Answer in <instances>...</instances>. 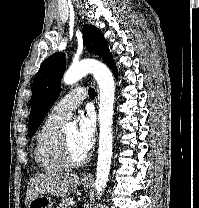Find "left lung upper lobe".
I'll use <instances>...</instances> for the list:
<instances>
[{"instance_id":"left-lung-upper-lobe-1","label":"left lung upper lobe","mask_w":199,"mask_h":208,"mask_svg":"<svg viewBox=\"0 0 199 208\" xmlns=\"http://www.w3.org/2000/svg\"><path fill=\"white\" fill-rule=\"evenodd\" d=\"M84 45L88 51L99 55L109 67L115 64L102 32L95 26L83 27ZM66 68L63 53H55L45 59L33 80L31 113L29 116L28 134L32 136L45 115L60 94V82Z\"/></svg>"}]
</instances>
